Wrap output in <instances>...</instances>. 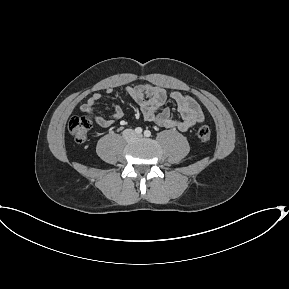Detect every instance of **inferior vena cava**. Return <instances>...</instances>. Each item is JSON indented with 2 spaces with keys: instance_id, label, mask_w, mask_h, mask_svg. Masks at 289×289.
<instances>
[{
  "instance_id": "1",
  "label": "inferior vena cava",
  "mask_w": 289,
  "mask_h": 289,
  "mask_svg": "<svg viewBox=\"0 0 289 289\" xmlns=\"http://www.w3.org/2000/svg\"><path fill=\"white\" fill-rule=\"evenodd\" d=\"M135 136V133L132 129H126L124 130L123 132V137L128 140V139H131Z\"/></svg>"
}]
</instances>
